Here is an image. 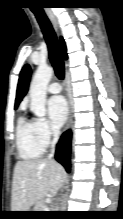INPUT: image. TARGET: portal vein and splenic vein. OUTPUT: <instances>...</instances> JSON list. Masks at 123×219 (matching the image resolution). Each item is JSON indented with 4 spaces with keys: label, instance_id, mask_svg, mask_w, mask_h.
Returning a JSON list of instances; mask_svg holds the SVG:
<instances>
[{
    "label": "portal vein and splenic vein",
    "instance_id": "obj_1",
    "mask_svg": "<svg viewBox=\"0 0 123 219\" xmlns=\"http://www.w3.org/2000/svg\"><path fill=\"white\" fill-rule=\"evenodd\" d=\"M44 211H49L47 206L44 207Z\"/></svg>",
    "mask_w": 123,
    "mask_h": 219
}]
</instances>
